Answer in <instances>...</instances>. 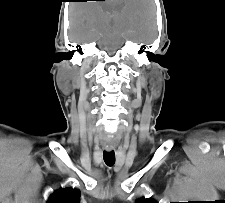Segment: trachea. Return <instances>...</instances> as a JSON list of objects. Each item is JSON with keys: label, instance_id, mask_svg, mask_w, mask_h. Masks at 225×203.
<instances>
[{"label": "trachea", "instance_id": "3493384b", "mask_svg": "<svg viewBox=\"0 0 225 203\" xmlns=\"http://www.w3.org/2000/svg\"><path fill=\"white\" fill-rule=\"evenodd\" d=\"M103 159L108 166H113L115 164V153L114 151L103 152Z\"/></svg>", "mask_w": 225, "mask_h": 203}]
</instances>
